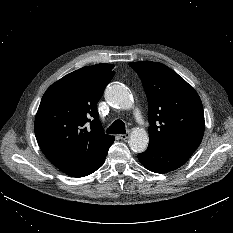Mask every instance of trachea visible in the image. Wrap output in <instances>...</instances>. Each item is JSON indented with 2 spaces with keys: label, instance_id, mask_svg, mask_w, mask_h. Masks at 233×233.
<instances>
[{
  "label": "trachea",
  "instance_id": "trachea-1",
  "mask_svg": "<svg viewBox=\"0 0 233 233\" xmlns=\"http://www.w3.org/2000/svg\"><path fill=\"white\" fill-rule=\"evenodd\" d=\"M108 134H125V124L122 120H116L107 130Z\"/></svg>",
  "mask_w": 233,
  "mask_h": 233
}]
</instances>
